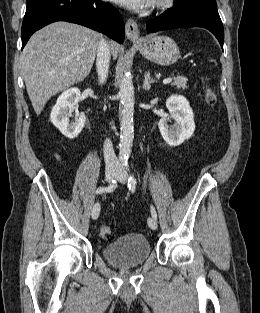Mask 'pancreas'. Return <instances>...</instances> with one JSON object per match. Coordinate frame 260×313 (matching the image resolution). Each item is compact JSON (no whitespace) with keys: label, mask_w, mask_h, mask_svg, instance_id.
Segmentation results:
<instances>
[{"label":"pancreas","mask_w":260,"mask_h":313,"mask_svg":"<svg viewBox=\"0 0 260 313\" xmlns=\"http://www.w3.org/2000/svg\"><path fill=\"white\" fill-rule=\"evenodd\" d=\"M172 86H175L177 89H186L187 88V79L185 77L174 78Z\"/></svg>","instance_id":"pancreas-1"}]
</instances>
